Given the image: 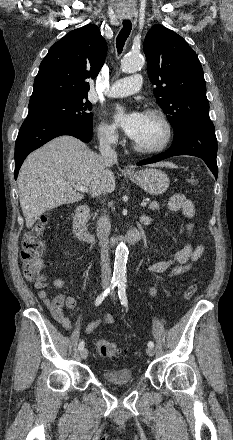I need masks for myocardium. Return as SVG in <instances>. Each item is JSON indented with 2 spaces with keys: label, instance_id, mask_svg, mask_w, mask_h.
Listing matches in <instances>:
<instances>
[{
  "label": "myocardium",
  "instance_id": "obj_1",
  "mask_svg": "<svg viewBox=\"0 0 233 440\" xmlns=\"http://www.w3.org/2000/svg\"><path fill=\"white\" fill-rule=\"evenodd\" d=\"M145 115L157 119L164 128V138L160 144L154 147H144L133 140L132 147L141 154H157L164 151L170 144L173 136V129L166 115L158 109H147Z\"/></svg>",
  "mask_w": 233,
  "mask_h": 440
}]
</instances>
